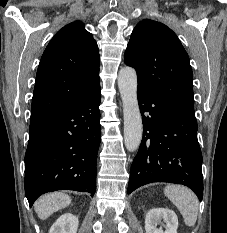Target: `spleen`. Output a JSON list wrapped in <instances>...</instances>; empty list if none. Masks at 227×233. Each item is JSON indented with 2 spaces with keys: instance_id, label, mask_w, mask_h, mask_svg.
<instances>
[{
  "instance_id": "1",
  "label": "spleen",
  "mask_w": 227,
  "mask_h": 233,
  "mask_svg": "<svg viewBox=\"0 0 227 233\" xmlns=\"http://www.w3.org/2000/svg\"><path fill=\"white\" fill-rule=\"evenodd\" d=\"M164 194L180 211L186 226H194L198 216V199L196 195L189 188L173 184L164 188Z\"/></svg>"
}]
</instances>
